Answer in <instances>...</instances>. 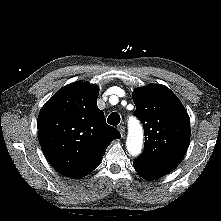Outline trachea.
Returning <instances> with one entry per match:
<instances>
[{"label": "trachea", "mask_w": 221, "mask_h": 221, "mask_svg": "<svg viewBox=\"0 0 221 221\" xmlns=\"http://www.w3.org/2000/svg\"><path fill=\"white\" fill-rule=\"evenodd\" d=\"M107 122L110 125L116 126L120 123V115L117 112H113L109 115Z\"/></svg>", "instance_id": "trachea-1"}]
</instances>
